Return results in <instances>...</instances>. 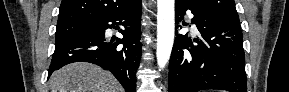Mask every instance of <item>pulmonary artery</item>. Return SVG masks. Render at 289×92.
<instances>
[{
	"label": "pulmonary artery",
	"mask_w": 289,
	"mask_h": 92,
	"mask_svg": "<svg viewBox=\"0 0 289 92\" xmlns=\"http://www.w3.org/2000/svg\"><path fill=\"white\" fill-rule=\"evenodd\" d=\"M193 29H196L195 25L192 26Z\"/></svg>",
	"instance_id": "pulmonary-artery-1"
}]
</instances>
